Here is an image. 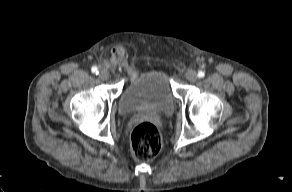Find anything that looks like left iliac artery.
I'll list each match as a JSON object with an SVG mask.
<instances>
[{"mask_svg": "<svg viewBox=\"0 0 292 192\" xmlns=\"http://www.w3.org/2000/svg\"><path fill=\"white\" fill-rule=\"evenodd\" d=\"M205 76V73L203 71L198 72V77L203 78Z\"/></svg>", "mask_w": 292, "mask_h": 192, "instance_id": "left-iliac-artery-1", "label": "left iliac artery"}]
</instances>
